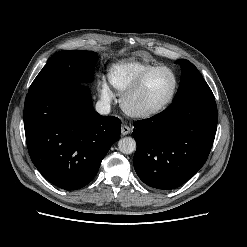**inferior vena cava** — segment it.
Masks as SVG:
<instances>
[{"label": "inferior vena cava", "instance_id": "1", "mask_svg": "<svg viewBox=\"0 0 247 247\" xmlns=\"http://www.w3.org/2000/svg\"><path fill=\"white\" fill-rule=\"evenodd\" d=\"M96 111L101 115H107L110 113L111 106L108 102L100 100L96 103Z\"/></svg>", "mask_w": 247, "mask_h": 247}]
</instances>
